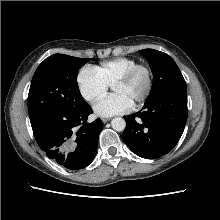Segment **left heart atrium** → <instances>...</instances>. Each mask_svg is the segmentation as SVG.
<instances>
[{"mask_svg":"<svg viewBox=\"0 0 220 220\" xmlns=\"http://www.w3.org/2000/svg\"><path fill=\"white\" fill-rule=\"evenodd\" d=\"M132 107V102L121 94H112L98 100L94 106V112L101 117H111L118 114H123L129 111Z\"/></svg>","mask_w":220,"mask_h":220,"instance_id":"obj_1","label":"left heart atrium"}]
</instances>
